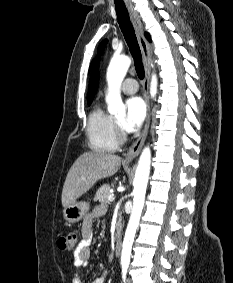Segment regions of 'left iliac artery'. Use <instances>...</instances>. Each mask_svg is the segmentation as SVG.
Here are the masks:
<instances>
[{"instance_id": "obj_1", "label": "left iliac artery", "mask_w": 233, "mask_h": 283, "mask_svg": "<svg viewBox=\"0 0 233 283\" xmlns=\"http://www.w3.org/2000/svg\"><path fill=\"white\" fill-rule=\"evenodd\" d=\"M126 275H127V267H123V269H122V279H123L124 283L126 281Z\"/></svg>"}]
</instances>
